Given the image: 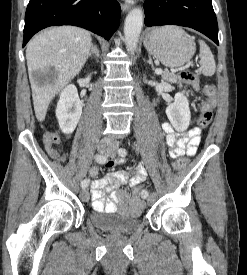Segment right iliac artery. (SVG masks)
<instances>
[{
	"instance_id": "82829eb1",
	"label": "right iliac artery",
	"mask_w": 247,
	"mask_h": 275,
	"mask_svg": "<svg viewBox=\"0 0 247 275\" xmlns=\"http://www.w3.org/2000/svg\"><path fill=\"white\" fill-rule=\"evenodd\" d=\"M106 159H107V158H106L104 155H98V156L96 157V161H97L98 163H100V164L105 163V162H106ZM89 183H90V180L86 178V179H84V180L82 181L81 187H82V188H86V187H88Z\"/></svg>"
}]
</instances>
